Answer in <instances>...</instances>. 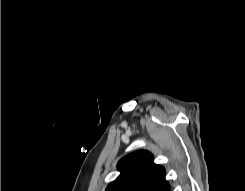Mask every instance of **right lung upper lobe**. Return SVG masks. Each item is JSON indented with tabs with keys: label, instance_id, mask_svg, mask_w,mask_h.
Returning <instances> with one entry per match:
<instances>
[{
	"label": "right lung upper lobe",
	"instance_id": "cb5924a9",
	"mask_svg": "<svg viewBox=\"0 0 245 191\" xmlns=\"http://www.w3.org/2000/svg\"><path fill=\"white\" fill-rule=\"evenodd\" d=\"M119 177L106 191H170L165 180V169L153 162V155L145 150L136 151L118 163Z\"/></svg>",
	"mask_w": 245,
	"mask_h": 191
}]
</instances>
